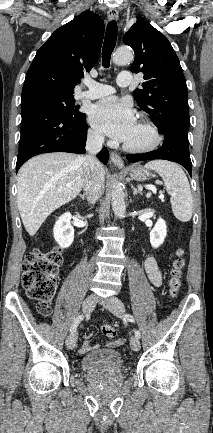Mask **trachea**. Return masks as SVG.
Returning <instances> with one entry per match:
<instances>
[{
	"instance_id": "trachea-1",
	"label": "trachea",
	"mask_w": 213,
	"mask_h": 433,
	"mask_svg": "<svg viewBox=\"0 0 213 433\" xmlns=\"http://www.w3.org/2000/svg\"><path fill=\"white\" fill-rule=\"evenodd\" d=\"M118 27L115 20L108 23L102 49V63L104 68L110 66L111 54L116 45Z\"/></svg>"
}]
</instances>
